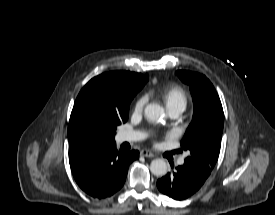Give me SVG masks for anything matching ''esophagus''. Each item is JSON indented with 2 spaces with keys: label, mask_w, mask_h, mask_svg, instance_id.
<instances>
[{
  "label": "esophagus",
  "mask_w": 275,
  "mask_h": 215,
  "mask_svg": "<svg viewBox=\"0 0 275 215\" xmlns=\"http://www.w3.org/2000/svg\"><path fill=\"white\" fill-rule=\"evenodd\" d=\"M140 154L144 157H149V158L154 157V154L150 150H147V149L141 150Z\"/></svg>",
  "instance_id": "1"
}]
</instances>
